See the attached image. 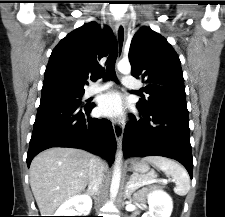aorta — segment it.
Masks as SVG:
<instances>
[{"instance_id": "aorta-1", "label": "aorta", "mask_w": 225, "mask_h": 217, "mask_svg": "<svg viewBox=\"0 0 225 217\" xmlns=\"http://www.w3.org/2000/svg\"><path fill=\"white\" fill-rule=\"evenodd\" d=\"M117 68L122 74H125V75L131 72V65L129 62L120 61L117 65ZM121 158H122V154L121 152H119L117 154L115 167H114L113 179L115 181H119L121 177Z\"/></svg>"}]
</instances>
